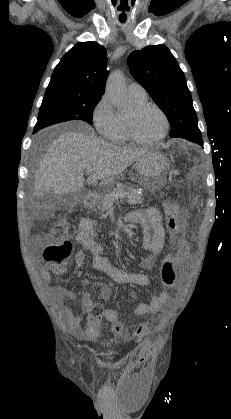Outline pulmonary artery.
<instances>
[{
	"instance_id": "e3ab8cb5",
	"label": "pulmonary artery",
	"mask_w": 231,
	"mask_h": 419,
	"mask_svg": "<svg viewBox=\"0 0 231 419\" xmlns=\"http://www.w3.org/2000/svg\"><path fill=\"white\" fill-rule=\"evenodd\" d=\"M128 93L130 95L140 97V98H146L147 93L144 87L136 82L130 83L128 86Z\"/></svg>"
}]
</instances>
